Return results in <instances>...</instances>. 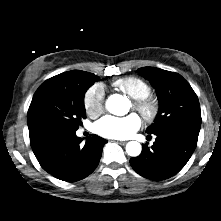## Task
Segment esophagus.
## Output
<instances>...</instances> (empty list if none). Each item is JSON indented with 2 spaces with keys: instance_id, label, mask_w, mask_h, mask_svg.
I'll use <instances>...</instances> for the list:
<instances>
[{
  "instance_id": "1",
  "label": "esophagus",
  "mask_w": 221,
  "mask_h": 221,
  "mask_svg": "<svg viewBox=\"0 0 221 221\" xmlns=\"http://www.w3.org/2000/svg\"><path fill=\"white\" fill-rule=\"evenodd\" d=\"M119 143L124 145V144H126V141H119Z\"/></svg>"
}]
</instances>
